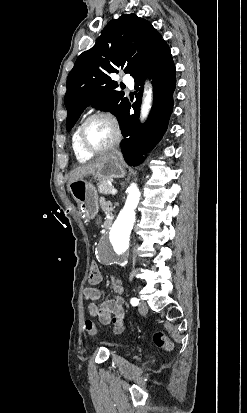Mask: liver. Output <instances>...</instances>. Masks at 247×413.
<instances>
[{"label":"liver","mask_w":247,"mask_h":413,"mask_svg":"<svg viewBox=\"0 0 247 413\" xmlns=\"http://www.w3.org/2000/svg\"><path fill=\"white\" fill-rule=\"evenodd\" d=\"M104 158L105 156H101V158H97L96 162H86V164H80V166L73 168L70 172L69 182H73V180H82L87 174L95 172L97 166L103 162Z\"/></svg>","instance_id":"liver-1"}]
</instances>
